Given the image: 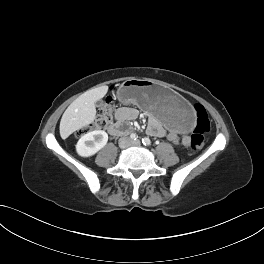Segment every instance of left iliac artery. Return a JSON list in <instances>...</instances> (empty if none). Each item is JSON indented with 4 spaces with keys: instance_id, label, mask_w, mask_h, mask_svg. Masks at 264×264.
Segmentation results:
<instances>
[{
    "instance_id": "44dca946",
    "label": "left iliac artery",
    "mask_w": 264,
    "mask_h": 264,
    "mask_svg": "<svg viewBox=\"0 0 264 264\" xmlns=\"http://www.w3.org/2000/svg\"><path fill=\"white\" fill-rule=\"evenodd\" d=\"M142 143L145 146H150L151 145V140L149 138L145 137V138H142Z\"/></svg>"
}]
</instances>
